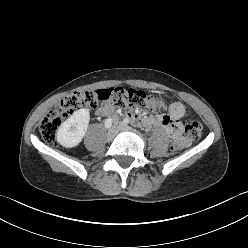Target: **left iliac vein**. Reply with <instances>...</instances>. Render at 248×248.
<instances>
[{
	"label": "left iliac vein",
	"mask_w": 248,
	"mask_h": 248,
	"mask_svg": "<svg viewBox=\"0 0 248 248\" xmlns=\"http://www.w3.org/2000/svg\"><path fill=\"white\" fill-rule=\"evenodd\" d=\"M118 129H119L120 131H127V132L133 131L132 128H130L129 126H127V125H125V124H123V123H121V124L118 126Z\"/></svg>",
	"instance_id": "left-iliac-vein-1"
}]
</instances>
